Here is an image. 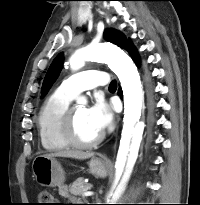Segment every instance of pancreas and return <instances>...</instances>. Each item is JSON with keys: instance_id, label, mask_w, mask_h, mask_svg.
<instances>
[{"instance_id": "pancreas-1", "label": "pancreas", "mask_w": 200, "mask_h": 205, "mask_svg": "<svg viewBox=\"0 0 200 205\" xmlns=\"http://www.w3.org/2000/svg\"><path fill=\"white\" fill-rule=\"evenodd\" d=\"M92 188L91 184H86L84 178H77L70 186L69 192L72 195L71 199H76V196H83V193ZM80 200V199H79Z\"/></svg>"}]
</instances>
